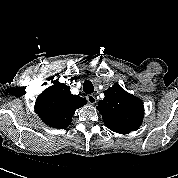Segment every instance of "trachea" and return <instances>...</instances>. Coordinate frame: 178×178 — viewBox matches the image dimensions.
<instances>
[{"instance_id":"3493384b","label":"trachea","mask_w":178,"mask_h":178,"mask_svg":"<svg viewBox=\"0 0 178 178\" xmlns=\"http://www.w3.org/2000/svg\"><path fill=\"white\" fill-rule=\"evenodd\" d=\"M83 91L87 94H91L94 92V86L92 84L91 81L89 80H86L84 83H83Z\"/></svg>"}]
</instances>
